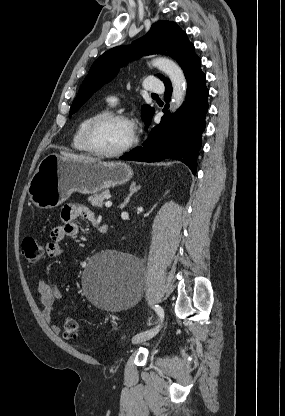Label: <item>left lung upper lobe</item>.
Wrapping results in <instances>:
<instances>
[{"label":"left lung upper lobe","mask_w":285,"mask_h":416,"mask_svg":"<svg viewBox=\"0 0 285 416\" xmlns=\"http://www.w3.org/2000/svg\"><path fill=\"white\" fill-rule=\"evenodd\" d=\"M165 54L175 59L182 69L194 58L198 57L194 52V45L187 39L183 32L174 22L158 21L154 23L149 32L141 39L132 43L130 47L118 46L103 53L92 65L88 75L84 79L79 92L74 99L69 116L79 108L97 91L102 85L112 80L121 65L129 60L140 56L151 54ZM158 77L169 82L163 75ZM154 114V108L144 105L142 117L149 122Z\"/></svg>","instance_id":"left-lung-upper-lobe-1"}]
</instances>
